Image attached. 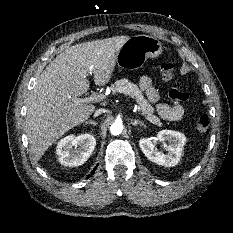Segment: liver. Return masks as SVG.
Masks as SVG:
<instances>
[{"mask_svg": "<svg viewBox=\"0 0 233 233\" xmlns=\"http://www.w3.org/2000/svg\"><path fill=\"white\" fill-rule=\"evenodd\" d=\"M128 39V36H115L73 45L45 68L29 97L25 121L35 160L94 112L95 105L76 103L74 99L88 91L90 71L96 85L110 81L118 52Z\"/></svg>", "mask_w": 233, "mask_h": 233, "instance_id": "6515ba94", "label": "liver"}]
</instances>
